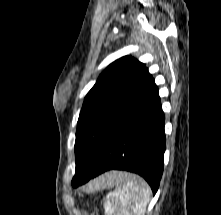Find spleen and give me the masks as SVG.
Returning <instances> with one entry per match:
<instances>
[{
	"instance_id": "spleen-1",
	"label": "spleen",
	"mask_w": 221,
	"mask_h": 215,
	"mask_svg": "<svg viewBox=\"0 0 221 215\" xmlns=\"http://www.w3.org/2000/svg\"><path fill=\"white\" fill-rule=\"evenodd\" d=\"M114 187L105 201V215H144L150 201V188L140 178L122 172H113L106 185Z\"/></svg>"
}]
</instances>
